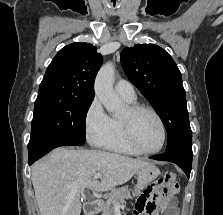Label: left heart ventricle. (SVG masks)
Here are the masks:
<instances>
[{
  "mask_svg": "<svg viewBox=\"0 0 223 215\" xmlns=\"http://www.w3.org/2000/svg\"><path fill=\"white\" fill-rule=\"evenodd\" d=\"M126 110L121 115L124 116ZM133 139L137 148L141 151H152L160 143L161 134L155 118L147 113L138 114L133 120L132 127Z\"/></svg>",
  "mask_w": 223,
  "mask_h": 215,
  "instance_id": "1",
  "label": "left heart ventricle"
}]
</instances>
